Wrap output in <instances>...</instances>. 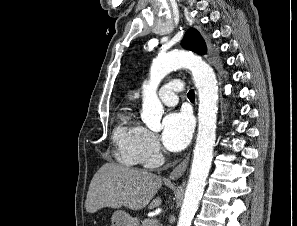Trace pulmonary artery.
<instances>
[{"instance_id":"1","label":"pulmonary artery","mask_w":297,"mask_h":226,"mask_svg":"<svg viewBox=\"0 0 297 226\" xmlns=\"http://www.w3.org/2000/svg\"><path fill=\"white\" fill-rule=\"evenodd\" d=\"M183 84L180 80L174 79L159 88L158 95L162 103L167 106H174L178 103L177 94L182 92Z\"/></svg>"}]
</instances>
